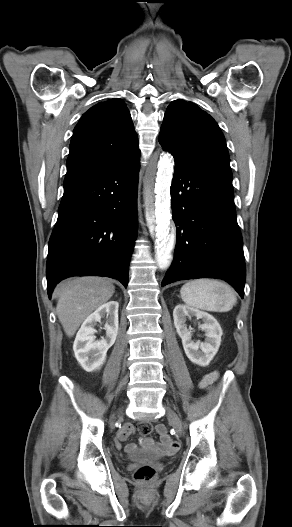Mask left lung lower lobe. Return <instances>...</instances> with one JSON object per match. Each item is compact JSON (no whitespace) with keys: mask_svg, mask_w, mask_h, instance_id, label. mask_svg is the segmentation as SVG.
I'll return each mask as SVG.
<instances>
[{"mask_svg":"<svg viewBox=\"0 0 292 527\" xmlns=\"http://www.w3.org/2000/svg\"><path fill=\"white\" fill-rule=\"evenodd\" d=\"M171 198L177 242L161 286L218 278L229 282L243 298L246 269L232 175L175 163Z\"/></svg>","mask_w":292,"mask_h":527,"instance_id":"obj_1","label":"left lung lower lobe"}]
</instances>
